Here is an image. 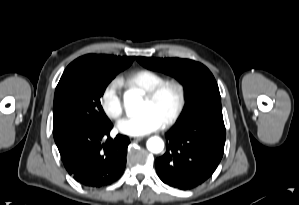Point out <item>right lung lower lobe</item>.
<instances>
[{"mask_svg": "<svg viewBox=\"0 0 299 205\" xmlns=\"http://www.w3.org/2000/svg\"><path fill=\"white\" fill-rule=\"evenodd\" d=\"M113 127L110 122L101 127L79 130L57 145L66 170L84 186L102 187L117 181L126 165L127 136L117 135L102 143Z\"/></svg>", "mask_w": 299, "mask_h": 205, "instance_id": "obj_1", "label": "right lung lower lobe"}]
</instances>
